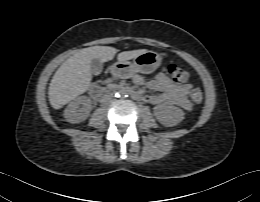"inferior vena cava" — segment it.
Masks as SVG:
<instances>
[{"mask_svg": "<svg viewBox=\"0 0 260 202\" xmlns=\"http://www.w3.org/2000/svg\"><path fill=\"white\" fill-rule=\"evenodd\" d=\"M114 100V95L112 93L104 94L101 98V103L103 105L110 104Z\"/></svg>", "mask_w": 260, "mask_h": 202, "instance_id": "inferior-vena-cava-1", "label": "inferior vena cava"}]
</instances>
